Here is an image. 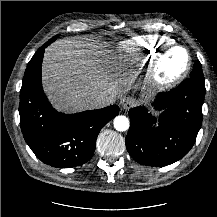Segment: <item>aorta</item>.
Returning <instances> with one entry per match:
<instances>
[{"label":"aorta","mask_w":217,"mask_h":217,"mask_svg":"<svg viewBox=\"0 0 217 217\" xmlns=\"http://www.w3.org/2000/svg\"><path fill=\"white\" fill-rule=\"evenodd\" d=\"M114 128L117 131H126L129 128V120L126 116H117L114 119Z\"/></svg>","instance_id":"obj_1"}]
</instances>
